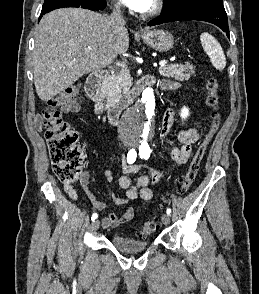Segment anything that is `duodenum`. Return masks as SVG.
<instances>
[{
    "label": "duodenum",
    "instance_id": "1",
    "mask_svg": "<svg viewBox=\"0 0 259 294\" xmlns=\"http://www.w3.org/2000/svg\"><path fill=\"white\" fill-rule=\"evenodd\" d=\"M109 76L107 70H99L93 72L86 80L85 90L87 95L95 104V111L97 114H103L106 110V94L104 91V84ZM151 83L149 77L138 81L131 90V94L124 105L116 106L107 111L109 121L112 125H116L120 119L124 108L130 105L131 101L140 96L145 87Z\"/></svg>",
    "mask_w": 259,
    "mask_h": 294
}]
</instances>
